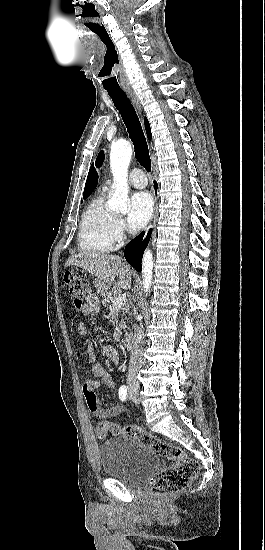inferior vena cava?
<instances>
[{
    "instance_id": "inferior-vena-cava-1",
    "label": "inferior vena cava",
    "mask_w": 265,
    "mask_h": 550,
    "mask_svg": "<svg viewBox=\"0 0 265 550\" xmlns=\"http://www.w3.org/2000/svg\"><path fill=\"white\" fill-rule=\"evenodd\" d=\"M144 332L139 326H135L133 346L128 370V383H138V373L143 364Z\"/></svg>"
}]
</instances>
